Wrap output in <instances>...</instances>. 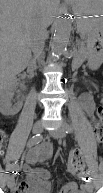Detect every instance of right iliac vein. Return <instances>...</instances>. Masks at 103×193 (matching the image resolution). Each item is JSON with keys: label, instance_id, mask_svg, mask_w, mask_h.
I'll list each match as a JSON object with an SVG mask.
<instances>
[{"label": "right iliac vein", "instance_id": "63e3f726", "mask_svg": "<svg viewBox=\"0 0 103 193\" xmlns=\"http://www.w3.org/2000/svg\"><path fill=\"white\" fill-rule=\"evenodd\" d=\"M41 132H42V124L40 122L35 123L34 126H33V133L37 134V133H41ZM7 184H8L9 188H12L14 186V179H13V177H11L8 180Z\"/></svg>", "mask_w": 103, "mask_h": 193}]
</instances>
